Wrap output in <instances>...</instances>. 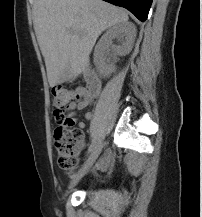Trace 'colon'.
Listing matches in <instances>:
<instances>
[{"mask_svg":"<svg viewBox=\"0 0 202 217\" xmlns=\"http://www.w3.org/2000/svg\"><path fill=\"white\" fill-rule=\"evenodd\" d=\"M79 98L77 92L57 88L53 92V111L56 118L54 142L60 168L67 172L74 171L79 163V152L84 145V132L76 127L67 111Z\"/></svg>","mask_w":202,"mask_h":217,"instance_id":"5ec220e1","label":"colon"}]
</instances>
